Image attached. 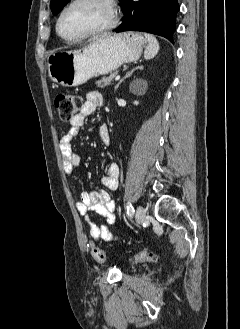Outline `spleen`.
<instances>
[{"mask_svg":"<svg viewBox=\"0 0 240 329\" xmlns=\"http://www.w3.org/2000/svg\"><path fill=\"white\" fill-rule=\"evenodd\" d=\"M145 38L148 41V46L144 51V58L146 60L154 58L159 51V43L157 39L151 34H145Z\"/></svg>","mask_w":240,"mask_h":329,"instance_id":"1","label":"spleen"}]
</instances>
